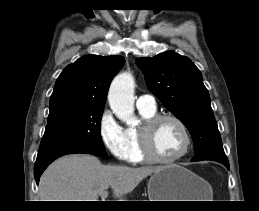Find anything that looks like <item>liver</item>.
Here are the masks:
<instances>
[{
	"label": "liver",
	"instance_id": "liver-1",
	"mask_svg": "<svg viewBox=\"0 0 259 211\" xmlns=\"http://www.w3.org/2000/svg\"><path fill=\"white\" fill-rule=\"evenodd\" d=\"M161 168L103 165L97 157L88 154L64 156L42 174L40 201H98L100 193L109 186L117 199H123L144 178Z\"/></svg>",
	"mask_w": 259,
	"mask_h": 211
}]
</instances>
